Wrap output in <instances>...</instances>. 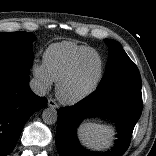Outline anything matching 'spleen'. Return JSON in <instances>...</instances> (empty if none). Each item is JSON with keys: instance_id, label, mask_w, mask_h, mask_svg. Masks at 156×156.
<instances>
[{"instance_id": "spleen-1", "label": "spleen", "mask_w": 156, "mask_h": 156, "mask_svg": "<svg viewBox=\"0 0 156 156\" xmlns=\"http://www.w3.org/2000/svg\"><path fill=\"white\" fill-rule=\"evenodd\" d=\"M78 135L85 146L105 150L112 145L114 129L107 125L84 123L79 127Z\"/></svg>"}]
</instances>
